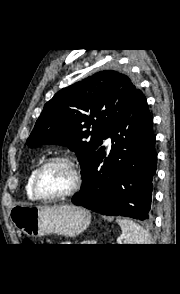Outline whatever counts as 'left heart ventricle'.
<instances>
[{
    "label": "left heart ventricle",
    "mask_w": 180,
    "mask_h": 294,
    "mask_svg": "<svg viewBox=\"0 0 180 294\" xmlns=\"http://www.w3.org/2000/svg\"><path fill=\"white\" fill-rule=\"evenodd\" d=\"M73 184L71 170L64 164H53L46 168L38 182L40 192L46 196H54L66 192Z\"/></svg>",
    "instance_id": "b2bd125f"
}]
</instances>
